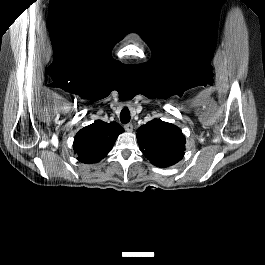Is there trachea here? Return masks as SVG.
Returning a JSON list of instances; mask_svg holds the SVG:
<instances>
[{
	"instance_id": "obj_1",
	"label": "trachea",
	"mask_w": 265,
	"mask_h": 265,
	"mask_svg": "<svg viewBox=\"0 0 265 265\" xmlns=\"http://www.w3.org/2000/svg\"><path fill=\"white\" fill-rule=\"evenodd\" d=\"M120 120L123 124H127L130 121V111L127 107H124L120 113Z\"/></svg>"
}]
</instances>
